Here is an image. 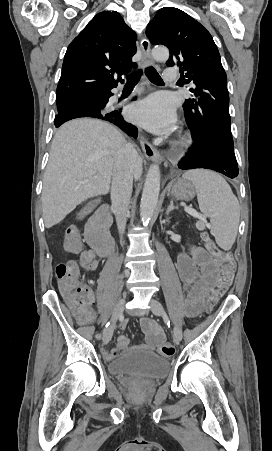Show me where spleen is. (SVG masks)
Wrapping results in <instances>:
<instances>
[{"label":"spleen","instance_id":"1","mask_svg":"<svg viewBox=\"0 0 272 451\" xmlns=\"http://www.w3.org/2000/svg\"><path fill=\"white\" fill-rule=\"evenodd\" d=\"M182 178L191 180L199 208L213 226L216 243L228 251L237 235L240 206L226 180L210 170H189Z\"/></svg>","mask_w":272,"mask_h":451}]
</instances>
